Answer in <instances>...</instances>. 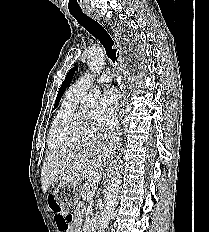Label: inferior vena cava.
<instances>
[{"label":"inferior vena cava","instance_id":"inferior-vena-cava-1","mask_svg":"<svg viewBox=\"0 0 209 232\" xmlns=\"http://www.w3.org/2000/svg\"><path fill=\"white\" fill-rule=\"evenodd\" d=\"M112 131H113V129L110 128V129L105 133L106 139H109L110 141L114 140V139H112Z\"/></svg>","mask_w":209,"mask_h":232}]
</instances>
